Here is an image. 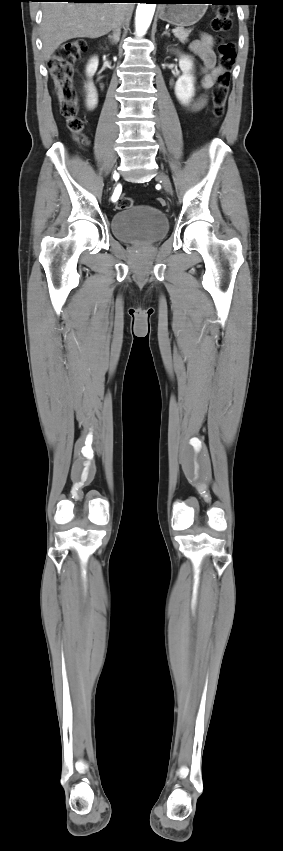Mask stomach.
<instances>
[{
    "label": "stomach",
    "instance_id": "stomach-1",
    "mask_svg": "<svg viewBox=\"0 0 283 851\" xmlns=\"http://www.w3.org/2000/svg\"><path fill=\"white\" fill-rule=\"evenodd\" d=\"M208 0H166L159 6L158 15L163 21L178 27L197 23L207 10Z\"/></svg>",
    "mask_w": 283,
    "mask_h": 851
}]
</instances>
